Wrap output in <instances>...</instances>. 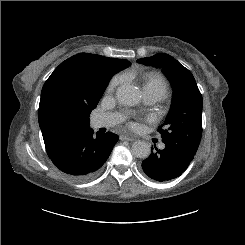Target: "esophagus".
<instances>
[{
	"label": "esophagus",
	"mask_w": 245,
	"mask_h": 245,
	"mask_svg": "<svg viewBox=\"0 0 245 245\" xmlns=\"http://www.w3.org/2000/svg\"><path fill=\"white\" fill-rule=\"evenodd\" d=\"M119 138L121 141H133L134 140L132 136H128V135H120Z\"/></svg>",
	"instance_id": "34e87169"
}]
</instances>
